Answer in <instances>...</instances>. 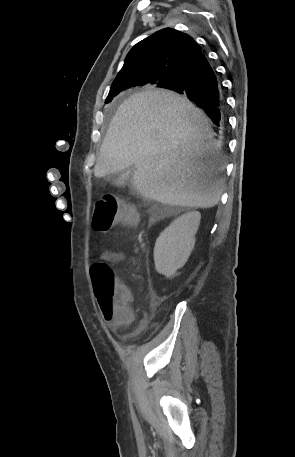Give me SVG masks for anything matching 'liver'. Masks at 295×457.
<instances>
[{
    "instance_id": "6515ba94",
    "label": "liver",
    "mask_w": 295,
    "mask_h": 457,
    "mask_svg": "<svg viewBox=\"0 0 295 457\" xmlns=\"http://www.w3.org/2000/svg\"><path fill=\"white\" fill-rule=\"evenodd\" d=\"M213 131L186 97L154 89L131 95L113 116L94 167L102 178L134 165L133 185L144 197L190 208H211L222 181Z\"/></svg>"
}]
</instances>
